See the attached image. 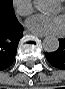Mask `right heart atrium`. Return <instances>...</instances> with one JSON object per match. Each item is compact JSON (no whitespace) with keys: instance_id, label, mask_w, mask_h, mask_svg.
<instances>
[{"instance_id":"right-heart-atrium-1","label":"right heart atrium","mask_w":65,"mask_h":89,"mask_svg":"<svg viewBox=\"0 0 65 89\" xmlns=\"http://www.w3.org/2000/svg\"><path fill=\"white\" fill-rule=\"evenodd\" d=\"M14 9L18 15L27 16L33 11V1L32 0H15Z\"/></svg>"}]
</instances>
